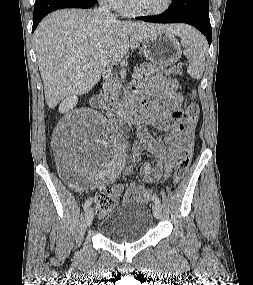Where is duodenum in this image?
<instances>
[{"label": "duodenum", "mask_w": 253, "mask_h": 285, "mask_svg": "<svg viewBox=\"0 0 253 285\" xmlns=\"http://www.w3.org/2000/svg\"><path fill=\"white\" fill-rule=\"evenodd\" d=\"M90 104L92 107H99L101 105V99L98 96H94L91 101ZM123 112V116L125 118L126 121L130 122V123H139L140 122V115L138 112V101L133 98V97H129L122 109Z\"/></svg>", "instance_id": "410a0bca"}]
</instances>
